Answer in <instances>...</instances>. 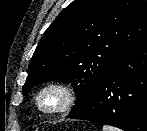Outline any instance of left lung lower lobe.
I'll list each match as a JSON object with an SVG mask.
<instances>
[{
	"label": "left lung lower lobe",
	"mask_w": 147,
	"mask_h": 131,
	"mask_svg": "<svg viewBox=\"0 0 147 131\" xmlns=\"http://www.w3.org/2000/svg\"><path fill=\"white\" fill-rule=\"evenodd\" d=\"M67 118L147 131V39L122 54L89 102Z\"/></svg>",
	"instance_id": "obj_1"
}]
</instances>
